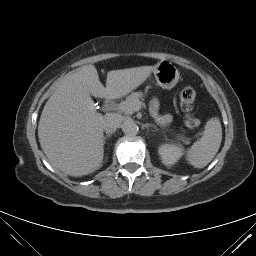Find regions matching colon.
<instances>
[{
	"label": "colon",
	"mask_w": 256,
	"mask_h": 256,
	"mask_svg": "<svg viewBox=\"0 0 256 256\" xmlns=\"http://www.w3.org/2000/svg\"><path fill=\"white\" fill-rule=\"evenodd\" d=\"M196 98V91L188 86L185 87L180 94V104L182 110L185 112V124L187 127L195 129L201 125V121L198 118L192 117L190 115L193 108V103Z\"/></svg>",
	"instance_id": "colon-1"
}]
</instances>
